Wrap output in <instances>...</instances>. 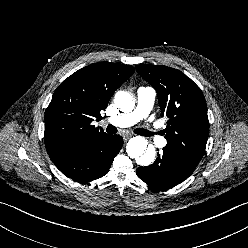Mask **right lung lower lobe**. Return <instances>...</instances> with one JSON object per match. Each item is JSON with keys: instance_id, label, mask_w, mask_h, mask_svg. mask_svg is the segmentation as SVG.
<instances>
[{"instance_id": "1", "label": "right lung lower lobe", "mask_w": 248, "mask_h": 248, "mask_svg": "<svg viewBox=\"0 0 248 248\" xmlns=\"http://www.w3.org/2000/svg\"><path fill=\"white\" fill-rule=\"evenodd\" d=\"M122 145L121 136L105 133L55 155L51 160L74 181L90 182L107 174Z\"/></svg>"}]
</instances>
